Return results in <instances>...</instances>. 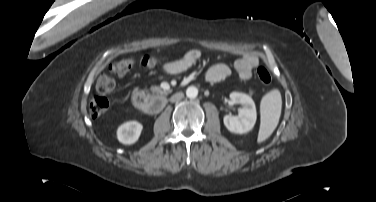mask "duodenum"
Here are the masks:
<instances>
[{"label": "duodenum", "mask_w": 376, "mask_h": 202, "mask_svg": "<svg viewBox=\"0 0 376 202\" xmlns=\"http://www.w3.org/2000/svg\"><path fill=\"white\" fill-rule=\"evenodd\" d=\"M131 101L138 111L146 114H155L164 107L166 99L163 95H148L144 92H135Z\"/></svg>", "instance_id": "obj_1"}]
</instances>
